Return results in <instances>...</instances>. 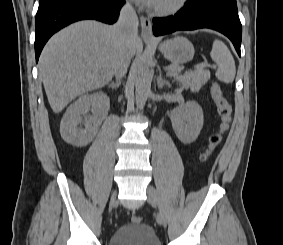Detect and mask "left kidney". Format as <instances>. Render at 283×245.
<instances>
[{
  "label": "left kidney",
  "mask_w": 283,
  "mask_h": 245,
  "mask_svg": "<svg viewBox=\"0 0 283 245\" xmlns=\"http://www.w3.org/2000/svg\"><path fill=\"white\" fill-rule=\"evenodd\" d=\"M170 119L176 136L184 144H191L198 138L204 122L202 108L195 101L176 107Z\"/></svg>",
  "instance_id": "5707ae66"
}]
</instances>
